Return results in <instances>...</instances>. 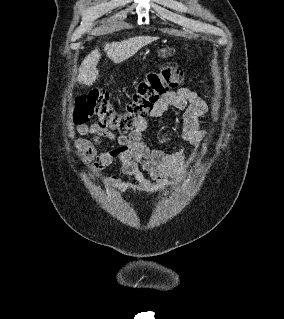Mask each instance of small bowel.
Listing matches in <instances>:
<instances>
[{
    "label": "small bowel",
    "instance_id": "1",
    "mask_svg": "<svg viewBox=\"0 0 284 319\" xmlns=\"http://www.w3.org/2000/svg\"><path fill=\"white\" fill-rule=\"evenodd\" d=\"M169 108L183 111L182 138L193 146L201 145L206 132L200 127V118L208 112L206 101L188 88H180L162 96L150 112L152 118H161ZM149 131L146 119L136 123L135 128L127 135L112 133L98 124L80 125L74 132L79 135H91L92 141L78 138L74 147L84 164H91V172L99 175L106 166L120 162L123 174L130 176L133 182L145 193L153 194L161 191L167 181L179 180L186 174L179 151H168L150 148L144 140ZM172 139V132L167 130L158 138V143L167 144ZM108 140L116 144V148L97 153L94 144ZM149 174V177L144 175ZM109 182L119 189H127L129 182L118 177H111Z\"/></svg>",
    "mask_w": 284,
    "mask_h": 319
}]
</instances>
